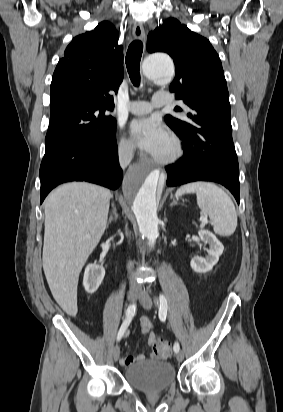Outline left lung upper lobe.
I'll use <instances>...</instances> for the list:
<instances>
[{
	"label": "left lung upper lobe",
	"instance_id": "1",
	"mask_svg": "<svg viewBox=\"0 0 283 412\" xmlns=\"http://www.w3.org/2000/svg\"><path fill=\"white\" fill-rule=\"evenodd\" d=\"M147 51L166 52L175 63L170 91L188 112L184 119L165 121L180 137L193 134L216 163L238 167L232 139L229 93L220 58L210 42L172 18L150 32ZM175 110L182 111L176 107Z\"/></svg>",
	"mask_w": 283,
	"mask_h": 412
}]
</instances>
